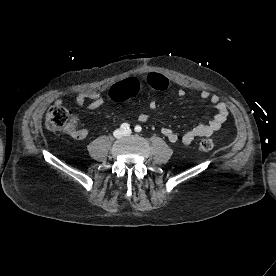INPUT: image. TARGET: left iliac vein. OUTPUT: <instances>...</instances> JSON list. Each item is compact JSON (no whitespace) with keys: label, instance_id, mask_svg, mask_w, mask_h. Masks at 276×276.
Listing matches in <instances>:
<instances>
[{"label":"left iliac vein","instance_id":"1","mask_svg":"<svg viewBox=\"0 0 276 276\" xmlns=\"http://www.w3.org/2000/svg\"><path fill=\"white\" fill-rule=\"evenodd\" d=\"M125 135H130L131 134V130H127L124 132Z\"/></svg>","mask_w":276,"mask_h":276}]
</instances>
